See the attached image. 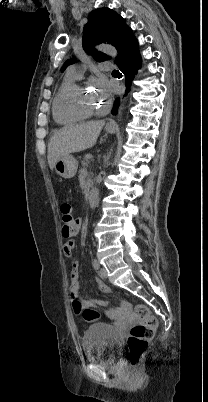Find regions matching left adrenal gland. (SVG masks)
Segmentation results:
<instances>
[{
  "label": "left adrenal gland",
  "instance_id": "obj_1",
  "mask_svg": "<svg viewBox=\"0 0 208 402\" xmlns=\"http://www.w3.org/2000/svg\"><path fill=\"white\" fill-rule=\"evenodd\" d=\"M111 152H112V150H111ZM111 152H110V154H111ZM110 154H108V156H107V158H106V160H105L106 166H109L108 160H109V158H110Z\"/></svg>",
  "mask_w": 208,
  "mask_h": 402
}]
</instances>
